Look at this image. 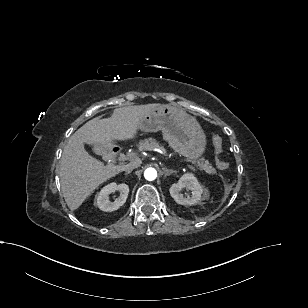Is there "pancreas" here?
<instances>
[{
	"label": "pancreas",
	"instance_id": "cf45deb5",
	"mask_svg": "<svg viewBox=\"0 0 308 308\" xmlns=\"http://www.w3.org/2000/svg\"><path fill=\"white\" fill-rule=\"evenodd\" d=\"M139 150H152V149H160L162 151H165L164 147L161 146L158 142H156L154 139L149 138L145 139L144 141H140L138 145ZM132 154H129L130 156ZM131 160H134L132 158H129ZM198 165L200 166L201 169L207 170V171H212V166L209 164L208 161H205L204 163L202 161L198 162Z\"/></svg>",
	"mask_w": 308,
	"mask_h": 308
}]
</instances>
